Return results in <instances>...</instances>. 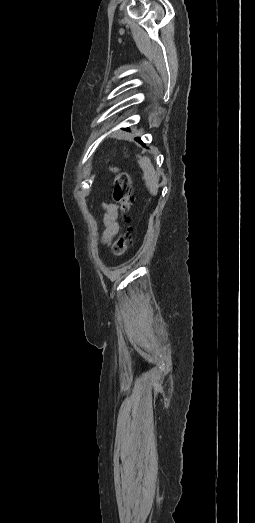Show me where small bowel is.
<instances>
[{
  "mask_svg": "<svg viewBox=\"0 0 255 523\" xmlns=\"http://www.w3.org/2000/svg\"><path fill=\"white\" fill-rule=\"evenodd\" d=\"M104 213L102 215V222L105 226L103 233V241L108 243L118 232V207L113 203L103 204Z\"/></svg>",
  "mask_w": 255,
  "mask_h": 523,
  "instance_id": "obj_1",
  "label": "small bowel"
}]
</instances>
